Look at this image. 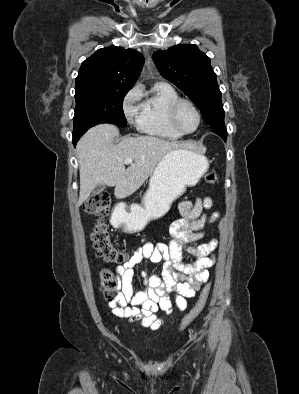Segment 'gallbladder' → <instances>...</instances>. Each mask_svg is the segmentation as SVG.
Returning a JSON list of instances; mask_svg holds the SVG:
<instances>
[{
  "label": "gallbladder",
  "instance_id": "1",
  "mask_svg": "<svg viewBox=\"0 0 299 394\" xmlns=\"http://www.w3.org/2000/svg\"><path fill=\"white\" fill-rule=\"evenodd\" d=\"M105 188V186L104 185H97L96 187H95V191H102L103 189Z\"/></svg>",
  "mask_w": 299,
  "mask_h": 394
}]
</instances>
